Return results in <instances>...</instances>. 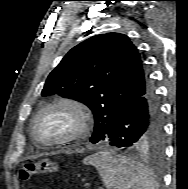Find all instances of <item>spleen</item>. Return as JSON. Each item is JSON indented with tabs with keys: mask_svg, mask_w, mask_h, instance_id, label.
<instances>
[{
	"mask_svg": "<svg viewBox=\"0 0 188 189\" xmlns=\"http://www.w3.org/2000/svg\"><path fill=\"white\" fill-rule=\"evenodd\" d=\"M94 166L108 189H157L153 174L141 163L109 151H99L84 158Z\"/></svg>",
	"mask_w": 188,
	"mask_h": 189,
	"instance_id": "1",
	"label": "spleen"
}]
</instances>
